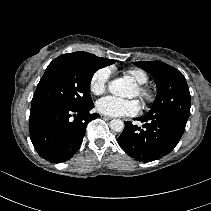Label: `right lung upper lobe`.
I'll return each mask as SVG.
<instances>
[{
  "instance_id": "obj_1",
  "label": "right lung upper lobe",
  "mask_w": 211,
  "mask_h": 211,
  "mask_svg": "<svg viewBox=\"0 0 211 211\" xmlns=\"http://www.w3.org/2000/svg\"><path fill=\"white\" fill-rule=\"evenodd\" d=\"M85 53H87V52H74V53H69V54H85ZM95 56V55H94ZM96 57V56H95ZM97 59L99 60V61H101V62H104V63H111V64H113L112 63V61L113 60H111V59H106V58H102V57H97ZM111 64H109V65H111ZM108 66V65H107Z\"/></svg>"
}]
</instances>
